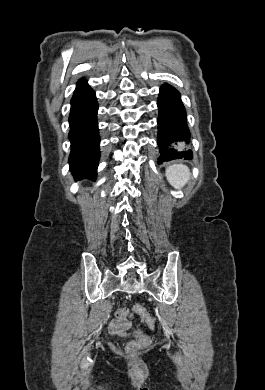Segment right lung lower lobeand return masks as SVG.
<instances>
[{
  "label": "right lung lower lobe",
  "mask_w": 265,
  "mask_h": 390,
  "mask_svg": "<svg viewBox=\"0 0 265 390\" xmlns=\"http://www.w3.org/2000/svg\"><path fill=\"white\" fill-rule=\"evenodd\" d=\"M97 111L95 92L86 80H80L71 99L69 116L71 141L69 163L76 179H96L97 162L100 157Z\"/></svg>",
  "instance_id": "1"
}]
</instances>
